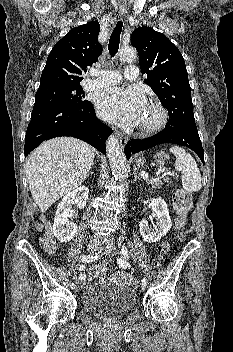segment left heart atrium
<instances>
[{
  "instance_id": "left-heart-atrium-1",
  "label": "left heart atrium",
  "mask_w": 233,
  "mask_h": 352,
  "mask_svg": "<svg viewBox=\"0 0 233 352\" xmlns=\"http://www.w3.org/2000/svg\"><path fill=\"white\" fill-rule=\"evenodd\" d=\"M146 101L142 91L136 87H111L101 91L96 98L99 115L123 127L140 122Z\"/></svg>"
}]
</instances>
